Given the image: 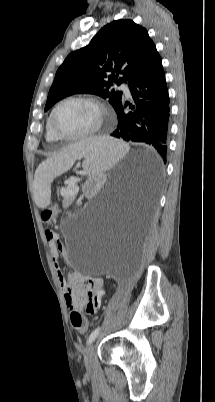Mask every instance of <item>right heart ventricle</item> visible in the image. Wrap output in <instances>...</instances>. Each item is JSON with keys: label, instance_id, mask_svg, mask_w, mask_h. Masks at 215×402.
Wrapping results in <instances>:
<instances>
[{"label": "right heart ventricle", "instance_id": "e07e8e85", "mask_svg": "<svg viewBox=\"0 0 215 402\" xmlns=\"http://www.w3.org/2000/svg\"><path fill=\"white\" fill-rule=\"evenodd\" d=\"M46 139L49 142H57L59 139L52 133L49 125V118L46 124Z\"/></svg>", "mask_w": 215, "mask_h": 402}]
</instances>
